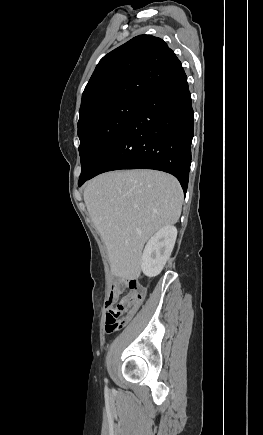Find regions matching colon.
<instances>
[{"label":"colon","mask_w":263,"mask_h":435,"mask_svg":"<svg viewBox=\"0 0 263 435\" xmlns=\"http://www.w3.org/2000/svg\"><path fill=\"white\" fill-rule=\"evenodd\" d=\"M113 289L127 291L121 300L106 313V332L113 333L121 329L135 315L141 306L145 290L136 279H125L117 283Z\"/></svg>","instance_id":"colon-1"}]
</instances>
